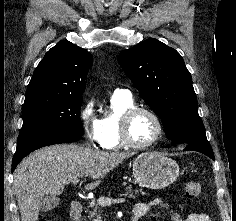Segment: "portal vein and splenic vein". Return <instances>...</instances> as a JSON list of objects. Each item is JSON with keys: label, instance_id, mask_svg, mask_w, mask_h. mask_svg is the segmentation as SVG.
<instances>
[{"label": "portal vein and splenic vein", "instance_id": "18ae733b", "mask_svg": "<svg viewBox=\"0 0 236 221\" xmlns=\"http://www.w3.org/2000/svg\"><path fill=\"white\" fill-rule=\"evenodd\" d=\"M72 183L77 184L78 179L72 180ZM125 201H126L125 198H115V199H113V198H110V197H100V198H98L97 203L100 206H110L113 203H123Z\"/></svg>", "mask_w": 236, "mask_h": 221}]
</instances>
